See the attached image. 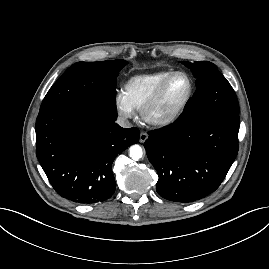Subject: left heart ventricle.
Here are the masks:
<instances>
[{"instance_id": "obj_1", "label": "left heart ventricle", "mask_w": 269, "mask_h": 269, "mask_svg": "<svg viewBox=\"0 0 269 269\" xmlns=\"http://www.w3.org/2000/svg\"><path fill=\"white\" fill-rule=\"evenodd\" d=\"M189 83L186 77L176 76L166 87L155 114L166 113L175 108L184 99L188 92Z\"/></svg>"}]
</instances>
